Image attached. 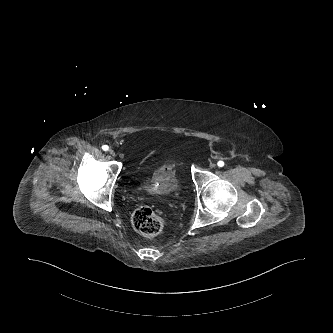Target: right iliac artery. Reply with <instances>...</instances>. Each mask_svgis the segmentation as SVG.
<instances>
[{
  "label": "right iliac artery",
  "mask_w": 333,
  "mask_h": 333,
  "mask_svg": "<svg viewBox=\"0 0 333 333\" xmlns=\"http://www.w3.org/2000/svg\"><path fill=\"white\" fill-rule=\"evenodd\" d=\"M102 149H103L104 151H107V150L109 149V147H108L107 145H103V146H102Z\"/></svg>",
  "instance_id": "right-iliac-artery-1"
}]
</instances>
